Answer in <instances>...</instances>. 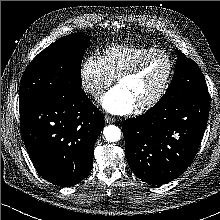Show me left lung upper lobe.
Segmentation results:
<instances>
[{"mask_svg": "<svg viewBox=\"0 0 220 220\" xmlns=\"http://www.w3.org/2000/svg\"><path fill=\"white\" fill-rule=\"evenodd\" d=\"M177 55L178 59L172 82L155 106L178 101L193 95L208 94L206 81L197 64L193 60L186 58L181 51H177Z\"/></svg>", "mask_w": 220, "mask_h": 220, "instance_id": "5c2ea615", "label": "left lung upper lobe"}]
</instances>
